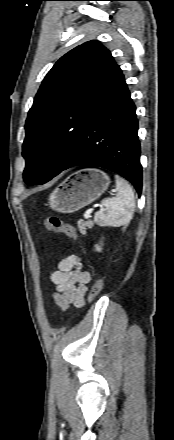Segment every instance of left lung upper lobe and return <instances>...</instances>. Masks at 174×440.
Returning a JSON list of instances; mask_svg holds the SVG:
<instances>
[{"instance_id":"left-lung-upper-lobe-1","label":"left lung upper lobe","mask_w":174,"mask_h":440,"mask_svg":"<svg viewBox=\"0 0 174 440\" xmlns=\"http://www.w3.org/2000/svg\"><path fill=\"white\" fill-rule=\"evenodd\" d=\"M117 66L110 51L92 40L61 57L45 76L25 124L28 185L46 183L76 153L85 120Z\"/></svg>"}]
</instances>
